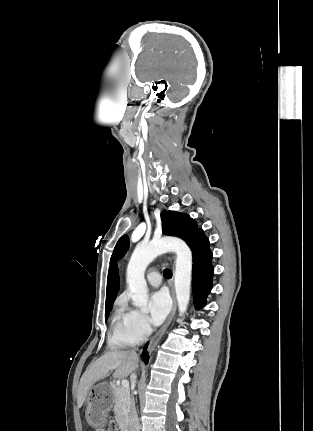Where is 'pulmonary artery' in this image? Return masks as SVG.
<instances>
[{
	"instance_id": "obj_1",
	"label": "pulmonary artery",
	"mask_w": 313,
	"mask_h": 431,
	"mask_svg": "<svg viewBox=\"0 0 313 431\" xmlns=\"http://www.w3.org/2000/svg\"><path fill=\"white\" fill-rule=\"evenodd\" d=\"M147 282L154 287H158L161 283V276L157 270H151L146 276Z\"/></svg>"
}]
</instances>
